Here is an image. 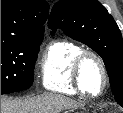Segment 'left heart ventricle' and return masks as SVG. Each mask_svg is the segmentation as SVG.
I'll return each instance as SVG.
<instances>
[{"mask_svg": "<svg viewBox=\"0 0 123 113\" xmlns=\"http://www.w3.org/2000/svg\"><path fill=\"white\" fill-rule=\"evenodd\" d=\"M83 80L87 92L96 93L102 86V73L93 59H88L83 67Z\"/></svg>", "mask_w": 123, "mask_h": 113, "instance_id": "obj_1", "label": "left heart ventricle"}]
</instances>
